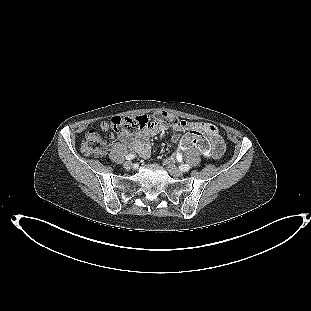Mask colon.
<instances>
[{
  "label": "colon",
  "instance_id": "1",
  "mask_svg": "<svg viewBox=\"0 0 311 311\" xmlns=\"http://www.w3.org/2000/svg\"><path fill=\"white\" fill-rule=\"evenodd\" d=\"M170 125L178 127H186L187 121L171 116L165 112H158L153 116V119L146 115L136 117H114L109 122L101 125L103 131L115 132L120 135H127L137 130H144L151 126ZM184 147L196 146L202 152L207 154L209 151V143L197 131H190L183 139ZM107 150L106 140L96 130H90L85 135L81 145V151L87 156H102Z\"/></svg>",
  "mask_w": 311,
  "mask_h": 311
}]
</instances>
